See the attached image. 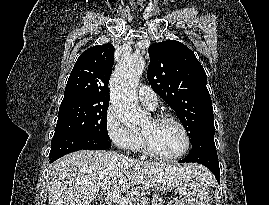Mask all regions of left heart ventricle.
<instances>
[{
  "label": "left heart ventricle",
  "mask_w": 269,
  "mask_h": 205,
  "mask_svg": "<svg viewBox=\"0 0 269 205\" xmlns=\"http://www.w3.org/2000/svg\"><path fill=\"white\" fill-rule=\"evenodd\" d=\"M151 146L164 155H174L183 150L185 139L180 128L171 121H149L141 131Z\"/></svg>",
  "instance_id": "1"
}]
</instances>
